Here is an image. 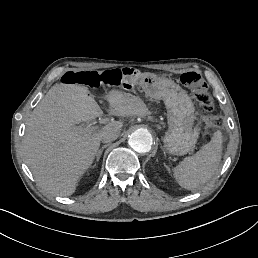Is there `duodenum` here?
Masks as SVG:
<instances>
[{"label": "duodenum", "instance_id": "1", "mask_svg": "<svg viewBox=\"0 0 258 258\" xmlns=\"http://www.w3.org/2000/svg\"><path fill=\"white\" fill-rule=\"evenodd\" d=\"M119 72L123 79H132L135 76V70L130 67L122 68Z\"/></svg>", "mask_w": 258, "mask_h": 258}]
</instances>
